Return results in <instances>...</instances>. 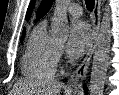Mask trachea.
Returning <instances> with one entry per match:
<instances>
[{
  "instance_id": "3493384b",
  "label": "trachea",
  "mask_w": 119,
  "mask_h": 95,
  "mask_svg": "<svg viewBox=\"0 0 119 95\" xmlns=\"http://www.w3.org/2000/svg\"><path fill=\"white\" fill-rule=\"evenodd\" d=\"M86 7L89 11H92L94 8L95 1L94 0H85Z\"/></svg>"
}]
</instances>
